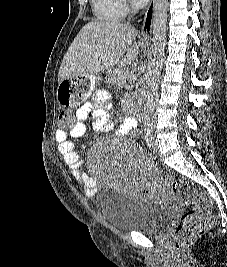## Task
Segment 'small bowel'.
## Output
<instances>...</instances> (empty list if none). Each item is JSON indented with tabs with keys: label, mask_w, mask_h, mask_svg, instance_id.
<instances>
[{
	"label": "small bowel",
	"mask_w": 227,
	"mask_h": 267,
	"mask_svg": "<svg viewBox=\"0 0 227 267\" xmlns=\"http://www.w3.org/2000/svg\"><path fill=\"white\" fill-rule=\"evenodd\" d=\"M108 105L106 103V94L97 93L95 97V106L85 104L79 107L75 112L76 122L71 126L70 130H57L55 140L58 144L59 152L63 155L66 164L70 167L71 172L77 182L83 188L84 194L88 197H94L97 192V182L92 178L84 168V163L80 159L78 153L74 150V144L71 139L82 137L86 131L85 122L90 118H94V125L100 131L111 129L107 116ZM138 127V120L135 117H127L123 120L119 127V134H133ZM151 187L143 186L140 188L138 195L146 196L152 192Z\"/></svg>",
	"instance_id": "c3829d8e"
}]
</instances>
